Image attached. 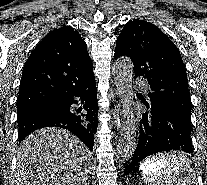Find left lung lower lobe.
<instances>
[{
    "mask_svg": "<svg viewBox=\"0 0 207 185\" xmlns=\"http://www.w3.org/2000/svg\"><path fill=\"white\" fill-rule=\"evenodd\" d=\"M137 97L146 106L142 114L138 145L128 171L134 169L147 156L169 150L193 153L191 119L184 117L174 107Z\"/></svg>",
    "mask_w": 207,
    "mask_h": 185,
    "instance_id": "0a47b994",
    "label": "left lung lower lobe"
}]
</instances>
